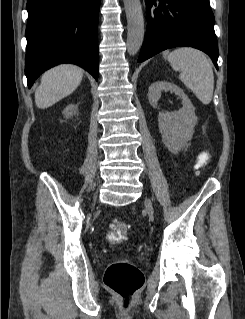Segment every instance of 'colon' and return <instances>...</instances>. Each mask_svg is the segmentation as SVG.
Here are the masks:
<instances>
[{
  "instance_id": "colon-1",
  "label": "colon",
  "mask_w": 245,
  "mask_h": 319,
  "mask_svg": "<svg viewBox=\"0 0 245 319\" xmlns=\"http://www.w3.org/2000/svg\"><path fill=\"white\" fill-rule=\"evenodd\" d=\"M209 160L208 154H202L198 159V167L203 168ZM130 230L129 225L121 220L109 223V239L113 242L125 240ZM104 285L111 290L122 302L130 304L144 283L141 270L129 261L119 259L107 267Z\"/></svg>"
}]
</instances>
